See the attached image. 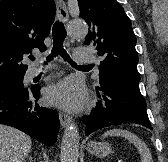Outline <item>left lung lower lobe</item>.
<instances>
[{"mask_svg":"<svg viewBox=\"0 0 168 162\" xmlns=\"http://www.w3.org/2000/svg\"><path fill=\"white\" fill-rule=\"evenodd\" d=\"M98 90L103 95L100 96ZM96 91L100 100L92 113L83 117L86 135L107 126L127 123H136L152 129L139 83L120 77H106L96 87Z\"/></svg>","mask_w":168,"mask_h":162,"instance_id":"left-lung-lower-lobe-1","label":"left lung lower lobe"}]
</instances>
